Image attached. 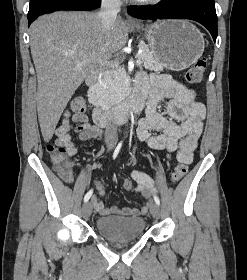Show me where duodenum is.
Here are the masks:
<instances>
[{"label": "duodenum", "mask_w": 247, "mask_h": 280, "mask_svg": "<svg viewBox=\"0 0 247 280\" xmlns=\"http://www.w3.org/2000/svg\"><path fill=\"white\" fill-rule=\"evenodd\" d=\"M98 79L99 73H94L87 80L91 98L94 97V86L96 85ZM144 95L145 92L142 89L136 88L130 95L127 102L115 108L96 106L92 113L95 124L100 127H104L110 122H124L128 120L133 114H136L142 110L144 104Z\"/></svg>", "instance_id": "obj_1"}]
</instances>
